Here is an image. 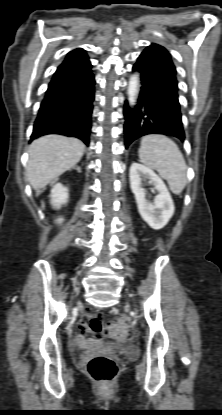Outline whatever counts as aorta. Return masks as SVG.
<instances>
[{
    "instance_id": "762f6f07",
    "label": "aorta",
    "mask_w": 222,
    "mask_h": 415,
    "mask_svg": "<svg viewBox=\"0 0 222 415\" xmlns=\"http://www.w3.org/2000/svg\"><path fill=\"white\" fill-rule=\"evenodd\" d=\"M139 89H140V77H139V74L134 73L131 75L129 79L128 89H127L128 102L131 107H133L136 104Z\"/></svg>"
}]
</instances>
